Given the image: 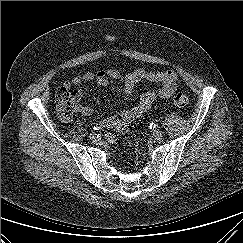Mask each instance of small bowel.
Here are the masks:
<instances>
[{
	"instance_id": "obj_1",
	"label": "small bowel",
	"mask_w": 243,
	"mask_h": 243,
	"mask_svg": "<svg viewBox=\"0 0 243 243\" xmlns=\"http://www.w3.org/2000/svg\"><path fill=\"white\" fill-rule=\"evenodd\" d=\"M177 74L174 71H148L138 68L132 72L121 73L116 69H108L106 71L86 72L82 75L73 77L65 82L66 88L72 86H80L84 82L95 81L99 86H106L109 79L121 81L123 90L127 94H131L139 82L146 80L161 85L157 91H146L140 95L138 102L132 107L120 112L119 115H111L102 121V125L114 129L121 130L130 122L138 118L141 114L148 111L157 98L166 99L171 97L177 90ZM77 102L82 100V94L74 91ZM77 111L84 116H90L92 109L89 106L77 105Z\"/></svg>"
}]
</instances>
